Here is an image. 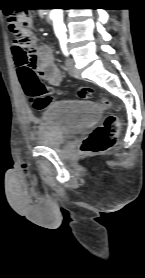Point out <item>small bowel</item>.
I'll list each match as a JSON object with an SVG mask.
<instances>
[{
  "label": "small bowel",
  "instance_id": "small-bowel-1",
  "mask_svg": "<svg viewBox=\"0 0 145 278\" xmlns=\"http://www.w3.org/2000/svg\"><path fill=\"white\" fill-rule=\"evenodd\" d=\"M11 53L17 70L19 84L22 86V78L28 72L37 71L44 80L54 86L59 85L62 80V74L58 66L53 61L52 50L45 45L38 48L35 53L25 52L20 45L14 41L11 45ZM31 122H36L34 117Z\"/></svg>",
  "mask_w": 145,
  "mask_h": 278
}]
</instances>
